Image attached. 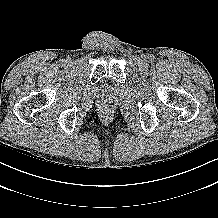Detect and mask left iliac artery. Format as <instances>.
<instances>
[{
	"label": "left iliac artery",
	"mask_w": 218,
	"mask_h": 218,
	"mask_svg": "<svg viewBox=\"0 0 218 218\" xmlns=\"http://www.w3.org/2000/svg\"><path fill=\"white\" fill-rule=\"evenodd\" d=\"M151 57V60H153V56H150Z\"/></svg>",
	"instance_id": "obj_1"
}]
</instances>
